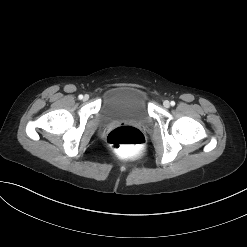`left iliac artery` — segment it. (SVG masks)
Listing matches in <instances>:
<instances>
[{
    "instance_id": "1",
    "label": "left iliac artery",
    "mask_w": 247,
    "mask_h": 247,
    "mask_svg": "<svg viewBox=\"0 0 247 247\" xmlns=\"http://www.w3.org/2000/svg\"><path fill=\"white\" fill-rule=\"evenodd\" d=\"M170 104H171V106H174L175 105V102L174 101H171Z\"/></svg>"
}]
</instances>
